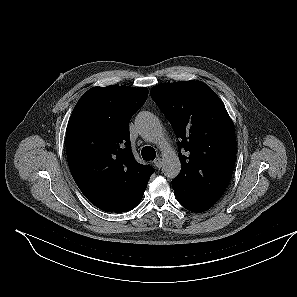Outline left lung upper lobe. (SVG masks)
Listing matches in <instances>:
<instances>
[{
  "mask_svg": "<svg viewBox=\"0 0 297 297\" xmlns=\"http://www.w3.org/2000/svg\"><path fill=\"white\" fill-rule=\"evenodd\" d=\"M150 95L180 138L182 168L172 181L177 200L190 211L210 209L225 192L236 158L234 125L223 102L198 80L159 84Z\"/></svg>",
  "mask_w": 297,
  "mask_h": 297,
  "instance_id": "1",
  "label": "left lung upper lobe"
}]
</instances>
